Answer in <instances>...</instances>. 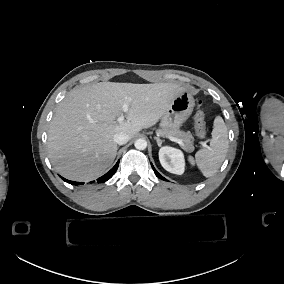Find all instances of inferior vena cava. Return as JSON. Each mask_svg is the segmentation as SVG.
<instances>
[{
  "label": "inferior vena cava",
  "instance_id": "inferior-vena-cava-1",
  "mask_svg": "<svg viewBox=\"0 0 284 284\" xmlns=\"http://www.w3.org/2000/svg\"><path fill=\"white\" fill-rule=\"evenodd\" d=\"M114 141L117 144L123 145V144H126L129 141V136L126 133L118 132L114 135Z\"/></svg>",
  "mask_w": 284,
  "mask_h": 284
}]
</instances>
